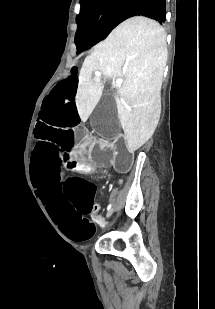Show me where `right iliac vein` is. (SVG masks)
I'll list each match as a JSON object with an SVG mask.
<instances>
[{"label":"right iliac vein","instance_id":"63e3f726","mask_svg":"<svg viewBox=\"0 0 215 309\" xmlns=\"http://www.w3.org/2000/svg\"><path fill=\"white\" fill-rule=\"evenodd\" d=\"M114 212V207H112L108 213H107V217H110L112 215V213Z\"/></svg>","mask_w":215,"mask_h":309}]
</instances>
